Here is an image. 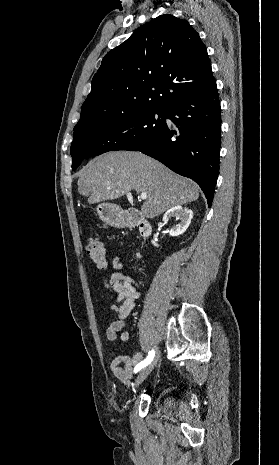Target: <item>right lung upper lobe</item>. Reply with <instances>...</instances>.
Listing matches in <instances>:
<instances>
[{"label": "right lung upper lobe", "instance_id": "cb5924a9", "mask_svg": "<svg viewBox=\"0 0 279 465\" xmlns=\"http://www.w3.org/2000/svg\"><path fill=\"white\" fill-rule=\"evenodd\" d=\"M212 79L199 34L186 20L160 15L105 55L76 126L101 125L143 109H166Z\"/></svg>", "mask_w": 279, "mask_h": 465}]
</instances>
